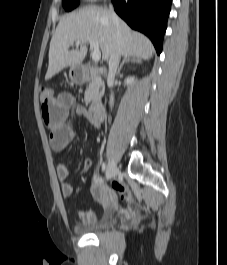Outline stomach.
Segmentation results:
<instances>
[{
  "instance_id": "stomach-1",
  "label": "stomach",
  "mask_w": 227,
  "mask_h": 265,
  "mask_svg": "<svg viewBox=\"0 0 227 265\" xmlns=\"http://www.w3.org/2000/svg\"><path fill=\"white\" fill-rule=\"evenodd\" d=\"M69 78L74 83H81L83 81V76L81 74V71L79 67H71L69 71Z\"/></svg>"
}]
</instances>
